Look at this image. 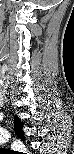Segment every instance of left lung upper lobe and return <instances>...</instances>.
Here are the masks:
<instances>
[{
	"instance_id": "5c2ea615",
	"label": "left lung upper lobe",
	"mask_w": 74,
	"mask_h": 154,
	"mask_svg": "<svg viewBox=\"0 0 74 154\" xmlns=\"http://www.w3.org/2000/svg\"><path fill=\"white\" fill-rule=\"evenodd\" d=\"M15 133L20 139H24V133L22 131V123L20 122L19 118L15 117Z\"/></svg>"
}]
</instances>
